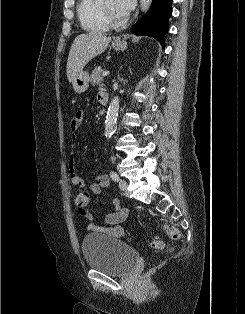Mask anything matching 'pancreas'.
I'll list each match as a JSON object with an SVG mask.
<instances>
[{
    "mask_svg": "<svg viewBox=\"0 0 245 314\" xmlns=\"http://www.w3.org/2000/svg\"><path fill=\"white\" fill-rule=\"evenodd\" d=\"M103 72L104 70L100 66L95 67L93 69L90 76V81L92 85H98L99 83L103 81V77H102Z\"/></svg>",
    "mask_w": 245,
    "mask_h": 314,
    "instance_id": "cf45deb5",
    "label": "pancreas"
}]
</instances>
